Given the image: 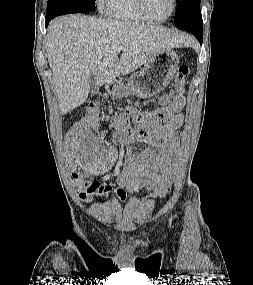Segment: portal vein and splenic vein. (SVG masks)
Here are the masks:
<instances>
[{"label": "portal vein and splenic vein", "instance_id": "obj_1", "mask_svg": "<svg viewBox=\"0 0 253 285\" xmlns=\"http://www.w3.org/2000/svg\"><path fill=\"white\" fill-rule=\"evenodd\" d=\"M117 49H118V50H122V47H118Z\"/></svg>", "mask_w": 253, "mask_h": 285}]
</instances>
